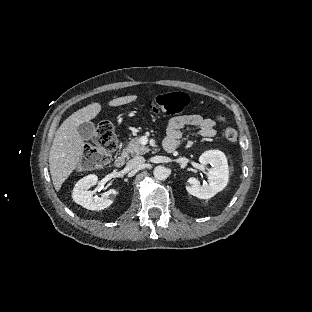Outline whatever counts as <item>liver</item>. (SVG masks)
I'll return each instance as SVG.
<instances>
[{"instance_id": "obj_1", "label": "liver", "mask_w": 312, "mask_h": 312, "mask_svg": "<svg viewBox=\"0 0 312 312\" xmlns=\"http://www.w3.org/2000/svg\"><path fill=\"white\" fill-rule=\"evenodd\" d=\"M137 99L136 95L113 99L109 106H120ZM101 111L99 103H92L70 115L57 129L49 152V169L56 191L75 170L83 154L84 139L77 128L84 122L94 119Z\"/></svg>"}]
</instances>
